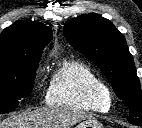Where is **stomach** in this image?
Here are the masks:
<instances>
[{
  "instance_id": "obj_1",
  "label": "stomach",
  "mask_w": 142,
  "mask_h": 128,
  "mask_svg": "<svg viewBox=\"0 0 142 128\" xmlns=\"http://www.w3.org/2000/svg\"><path fill=\"white\" fill-rule=\"evenodd\" d=\"M75 128H103V126L96 119L88 118L79 123Z\"/></svg>"
}]
</instances>
